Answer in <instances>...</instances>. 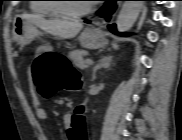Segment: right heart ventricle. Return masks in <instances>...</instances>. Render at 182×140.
I'll list each match as a JSON object with an SVG mask.
<instances>
[{
	"mask_svg": "<svg viewBox=\"0 0 182 140\" xmlns=\"http://www.w3.org/2000/svg\"><path fill=\"white\" fill-rule=\"evenodd\" d=\"M53 0H32L29 8L30 10L38 15L43 16H59L55 4L50 3Z\"/></svg>",
	"mask_w": 182,
	"mask_h": 140,
	"instance_id": "e07e8e85",
	"label": "right heart ventricle"
}]
</instances>
